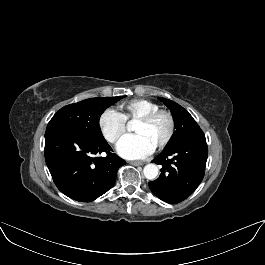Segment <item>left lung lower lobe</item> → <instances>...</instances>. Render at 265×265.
Returning a JSON list of instances; mask_svg holds the SVG:
<instances>
[{
	"label": "left lung lower lobe",
	"mask_w": 265,
	"mask_h": 265,
	"mask_svg": "<svg viewBox=\"0 0 265 265\" xmlns=\"http://www.w3.org/2000/svg\"><path fill=\"white\" fill-rule=\"evenodd\" d=\"M208 156L204 133L165 147L152 162L162 166L161 174L149 182L150 190L170 204L185 200L201 183Z\"/></svg>",
	"instance_id": "1"
}]
</instances>
